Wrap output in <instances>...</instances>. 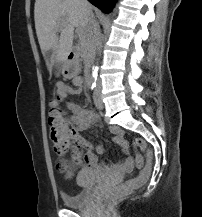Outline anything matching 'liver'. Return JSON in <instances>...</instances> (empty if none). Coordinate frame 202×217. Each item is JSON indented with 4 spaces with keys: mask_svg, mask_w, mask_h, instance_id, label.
<instances>
[{
    "mask_svg": "<svg viewBox=\"0 0 202 217\" xmlns=\"http://www.w3.org/2000/svg\"><path fill=\"white\" fill-rule=\"evenodd\" d=\"M92 10V6L88 4ZM35 29L41 51L46 58L49 72L55 63L66 61L72 51L74 27L87 29L86 7L81 0H36L34 7ZM60 32V36L57 33Z\"/></svg>",
    "mask_w": 202,
    "mask_h": 217,
    "instance_id": "1",
    "label": "liver"
}]
</instances>
